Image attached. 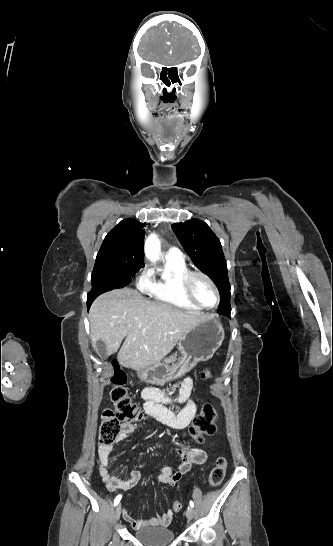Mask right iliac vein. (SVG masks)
I'll return each instance as SVG.
<instances>
[{"label":"right iliac vein","mask_w":333,"mask_h":546,"mask_svg":"<svg viewBox=\"0 0 333 546\" xmlns=\"http://www.w3.org/2000/svg\"><path fill=\"white\" fill-rule=\"evenodd\" d=\"M121 515V504H119L115 509V519L118 520Z\"/></svg>","instance_id":"63e3f726"}]
</instances>
